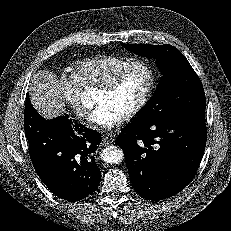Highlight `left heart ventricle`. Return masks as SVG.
<instances>
[{"instance_id": "obj_1", "label": "left heart ventricle", "mask_w": 231, "mask_h": 231, "mask_svg": "<svg viewBox=\"0 0 231 231\" xmlns=\"http://www.w3.org/2000/svg\"><path fill=\"white\" fill-rule=\"evenodd\" d=\"M149 77L143 67H135L128 71L118 86L110 93L99 91L97 102H107L125 115L143 96Z\"/></svg>"}]
</instances>
